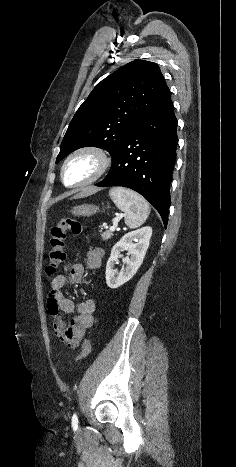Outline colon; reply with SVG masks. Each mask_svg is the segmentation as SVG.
Listing matches in <instances>:
<instances>
[{
    "label": "colon",
    "instance_id": "1",
    "mask_svg": "<svg viewBox=\"0 0 236 467\" xmlns=\"http://www.w3.org/2000/svg\"><path fill=\"white\" fill-rule=\"evenodd\" d=\"M82 230L81 222L77 219L65 218L61 219L57 225L51 230L50 247L48 252L47 273L54 275L60 265L66 259L64 251V240L68 232L79 234ZM91 344L88 339H85L82 345L81 352L76 356L75 360L79 361L89 355Z\"/></svg>",
    "mask_w": 236,
    "mask_h": 467
}]
</instances>
